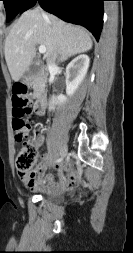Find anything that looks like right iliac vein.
Here are the masks:
<instances>
[{"label": "right iliac vein", "instance_id": "right-iliac-vein-1", "mask_svg": "<svg viewBox=\"0 0 133 253\" xmlns=\"http://www.w3.org/2000/svg\"><path fill=\"white\" fill-rule=\"evenodd\" d=\"M67 152H68V148H67L66 145H64V146L62 147L61 151H60V155H61V158H62V159L66 157Z\"/></svg>", "mask_w": 133, "mask_h": 253}]
</instances>
